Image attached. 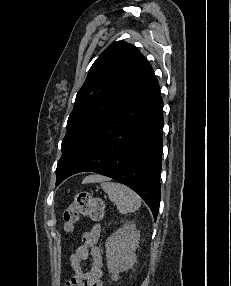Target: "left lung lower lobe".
<instances>
[{
    "instance_id": "1",
    "label": "left lung lower lobe",
    "mask_w": 231,
    "mask_h": 286,
    "mask_svg": "<svg viewBox=\"0 0 231 286\" xmlns=\"http://www.w3.org/2000/svg\"><path fill=\"white\" fill-rule=\"evenodd\" d=\"M163 101L152 73L85 137L56 185L80 172L111 177L133 189L156 220L160 203Z\"/></svg>"
}]
</instances>
